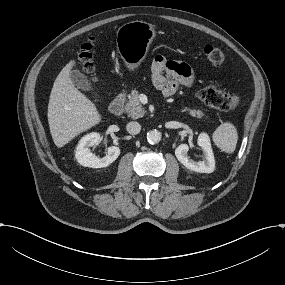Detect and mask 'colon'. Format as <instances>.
Instances as JSON below:
<instances>
[{
	"mask_svg": "<svg viewBox=\"0 0 285 285\" xmlns=\"http://www.w3.org/2000/svg\"><path fill=\"white\" fill-rule=\"evenodd\" d=\"M203 52L207 61L214 66H220L226 60L225 52L216 46L206 45ZM78 60L83 71L92 75L94 65L92 61V45L90 43L81 47L78 53ZM197 96L204 104L219 111H233L241 104V97L237 93L228 92L214 85L204 86L198 91Z\"/></svg>",
	"mask_w": 285,
	"mask_h": 285,
	"instance_id": "1",
	"label": "colon"
}]
</instances>
